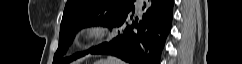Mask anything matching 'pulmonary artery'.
<instances>
[{
    "instance_id": "1",
    "label": "pulmonary artery",
    "mask_w": 242,
    "mask_h": 64,
    "mask_svg": "<svg viewBox=\"0 0 242 64\" xmlns=\"http://www.w3.org/2000/svg\"><path fill=\"white\" fill-rule=\"evenodd\" d=\"M135 4L138 9L141 8V0H137Z\"/></svg>"
}]
</instances>
